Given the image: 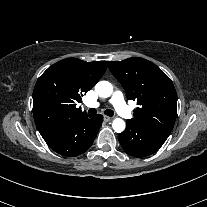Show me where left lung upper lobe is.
Here are the masks:
<instances>
[{"label": "left lung upper lobe", "mask_w": 207, "mask_h": 207, "mask_svg": "<svg viewBox=\"0 0 207 207\" xmlns=\"http://www.w3.org/2000/svg\"><path fill=\"white\" fill-rule=\"evenodd\" d=\"M108 65L128 99L137 101L134 118L128 121L170 134L177 115V94L168 76L152 62L138 57Z\"/></svg>", "instance_id": "left-lung-upper-lobe-1"}]
</instances>
